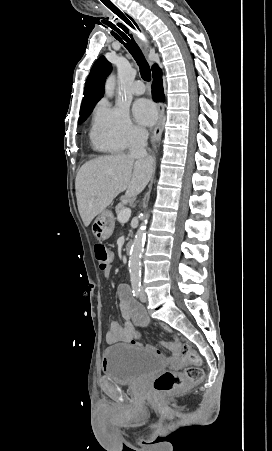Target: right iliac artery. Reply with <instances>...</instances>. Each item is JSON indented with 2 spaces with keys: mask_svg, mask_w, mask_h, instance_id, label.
Wrapping results in <instances>:
<instances>
[{
  "mask_svg": "<svg viewBox=\"0 0 272 451\" xmlns=\"http://www.w3.org/2000/svg\"><path fill=\"white\" fill-rule=\"evenodd\" d=\"M141 292V282L134 281L132 282V293L133 296L139 297Z\"/></svg>",
  "mask_w": 272,
  "mask_h": 451,
  "instance_id": "1",
  "label": "right iliac artery"
}]
</instances>
